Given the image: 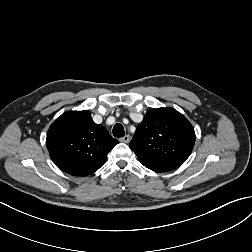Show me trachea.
<instances>
[{"label":"trachea","instance_id":"trachea-1","mask_svg":"<svg viewBox=\"0 0 252 252\" xmlns=\"http://www.w3.org/2000/svg\"><path fill=\"white\" fill-rule=\"evenodd\" d=\"M113 135L115 137H123L125 135V131L123 126L120 123H117L113 127Z\"/></svg>","mask_w":252,"mask_h":252}]
</instances>
